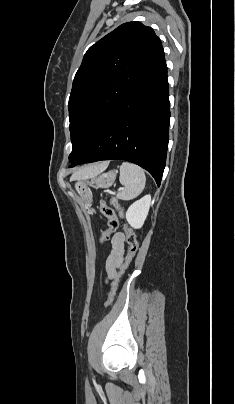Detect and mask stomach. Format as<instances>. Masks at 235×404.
<instances>
[{
	"instance_id": "0dacf381",
	"label": "stomach",
	"mask_w": 235,
	"mask_h": 404,
	"mask_svg": "<svg viewBox=\"0 0 235 404\" xmlns=\"http://www.w3.org/2000/svg\"><path fill=\"white\" fill-rule=\"evenodd\" d=\"M117 170H110L105 173H99L91 177L90 181L78 180L75 183V189L83 201L85 206H88L91 202L92 195L88 186H93L95 188H109L112 186L116 179Z\"/></svg>"
}]
</instances>
